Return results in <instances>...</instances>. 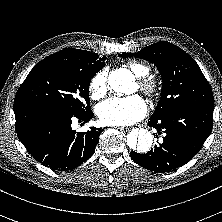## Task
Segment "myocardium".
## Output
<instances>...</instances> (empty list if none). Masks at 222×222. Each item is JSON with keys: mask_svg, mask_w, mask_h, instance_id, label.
<instances>
[{"mask_svg": "<svg viewBox=\"0 0 222 222\" xmlns=\"http://www.w3.org/2000/svg\"><path fill=\"white\" fill-rule=\"evenodd\" d=\"M139 87L150 98L157 97L161 90L159 80L151 76L142 77L139 82Z\"/></svg>", "mask_w": 222, "mask_h": 222, "instance_id": "myocardium-1", "label": "myocardium"}]
</instances>
